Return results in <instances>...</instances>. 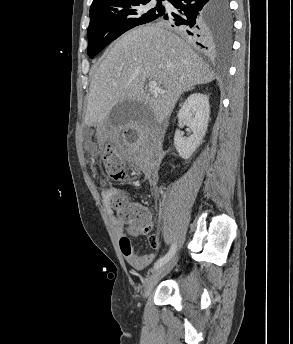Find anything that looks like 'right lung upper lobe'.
<instances>
[{"mask_svg": "<svg viewBox=\"0 0 293 344\" xmlns=\"http://www.w3.org/2000/svg\"><path fill=\"white\" fill-rule=\"evenodd\" d=\"M118 0H93L90 10L101 5L109 4Z\"/></svg>", "mask_w": 293, "mask_h": 344, "instance_id": "right-lung-upper-lobe-1", "label": "right lung upper lobe"}]
</instances>
